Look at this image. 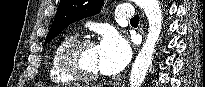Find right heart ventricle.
<instances>
[{"label": "right heart ventricle", "instance_id": "right-heart-ventricle-1", "mask_svg": "<svg viewBox=\"0 0 205 87\" xmlns=\"http://www.w3.org/2000/svg\"><path fill=\"white\" fill-rule=\"evenodd\" d=\"M77 35L66 34L61 37L54 46L49 64V77L52 83L57 85H67L70 84L73 79L65 74L59 64V56L62 49L70 42L75 40Z\"/></svg>", "mask_w": 205, "mask_h": 87}]
</instances>
